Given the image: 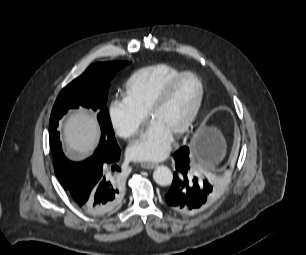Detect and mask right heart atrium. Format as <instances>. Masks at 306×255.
Masks as SVG:
<instances>
[{"label": "right heart atrium", "mask_w": 306, "mask_h": 255, "mask_svg": "<svg viewBox=\"0 0 306 255\" xmlns=\"http://www.w3.org/2000/svg\"><path fill=\"white\" fill-rule=\"evenodd\" d=\"M108 118L114 132L123 139H131L138 135L145 121V116L124 99H115L109 104Z\"/></svg>", "instance_id": "1"}]
</instances>
